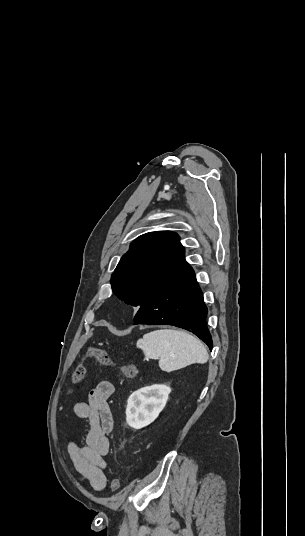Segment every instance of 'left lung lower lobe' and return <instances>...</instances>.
Wrapping results in <instances>:
<instances>
[{
    "mask_svg": "<svg viewBox=\"0 0 305 536\" xmlns=\"http://www.w3.org/2000/svg\"><path fill=\"white\" fill-rule=\"evenodd\" d=\"M207 307L191 267L150 297L138 310L134 324L174 325L196 334L212 349L206 325Z\"/></svg>",
    "mask_w": 305,
    "mask_h": 536,
    "instance_id": "obj_1",
    "label": "left lung lower lobe"
}]
</instances>
